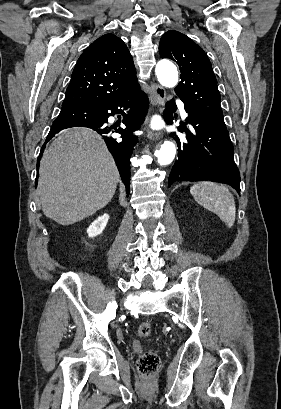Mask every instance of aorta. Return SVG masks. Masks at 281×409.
<instances>
[{"label":"aorta","instance_id":"1","mask_svg":"<svg viewBox=\"0 0 281 409\" xmlns=\"http://www.w3.org/2000/svg\"><path fill=\"white\" fill-rule=\"evenodd\" d=\"M158 81L165 87H175L178 83V71L176 66L168 61L161 60L157 63L155 69ZM176 147L171 141H165L161 148L155 152L157 161L160 165H168L175 158Z\"/></svg>","mask_w":281,"mask_h":409}]
</instances>
